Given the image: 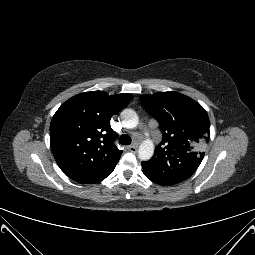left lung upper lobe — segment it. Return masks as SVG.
<instances>
[{"label": "left lung upper lobe", "mask_w": 255, "mask_h": 255, "mask_svg": "<svg viewBox=\"0 0 255 255\" xmlns=\"http://www.w3.org/2000/svg\"><path fill=\"white\" fill-rule=\"evenodd\" d=\"M140 101L163 133L153 157L142 162L151 181L174 185L188 179L199 167L209 140V118L193 99L177 92L144 95Z\"/></svg>", "instance_id": "left-lung-upper-lobe-1"}]
</instances>
